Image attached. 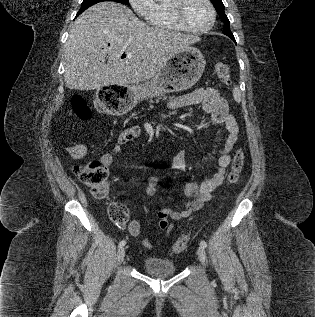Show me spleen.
<instances>
[{"mask_svg": "<svg viewBox=\"0 0 315 317\" xmlns=\"http://www.w3.org/2000/svg\"><path fill=\"white\" fill-rule=\"evenodd\" d=\"M233 96L237 102L241 101V92L237 86H235L233 89Z\"/></svg>", "mask_w": 315, "mask_h": 317, "instance_id": "1", "label": "spleen"}]
</instances>
